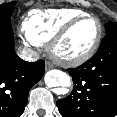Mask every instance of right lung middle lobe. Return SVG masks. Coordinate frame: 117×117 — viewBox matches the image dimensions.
<instances>
[{
  "label": "right lung middle lobe",
  "instance_id": "right-lung-middle-lobe-1",
  "mask_svg": "<svg viewBox=\"0 0 117 117\" xmlns=\"http://www.w3.org/2000/svg\"><path fill=\"white\" fill-rule=\"evenodd\" d=\"M15 4H16V1L1 4L0 5V18H10Z\"/></svg>",
  "mask_w": 117,
  "mask_h": 117
}]
</instances>
